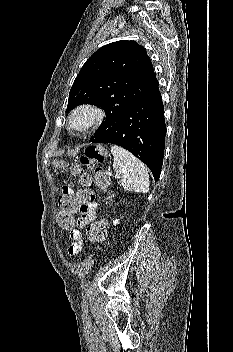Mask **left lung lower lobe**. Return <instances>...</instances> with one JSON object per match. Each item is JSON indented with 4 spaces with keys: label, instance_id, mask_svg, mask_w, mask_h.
I'll list each match as a JSON object with an SVG mask.
<instances>
[{
    "label": "left lung lower lobe",
    "instance_id": "left-lung-lower-lobe-1",
    "mask_svg": "<svg viewBox=\"0 0 233 352\" xmlns=\"http://www.w3.org/2000/svg\"><path fill=\"white\" fill-rule=\"evenodd\" d=\"M90 143H112L143 161L158 180L165 147V119L159 85L123 111L116 122Z\"/></svg>",
    "mask_w": 233,
    "mask_h": 352
}]
</instances>
